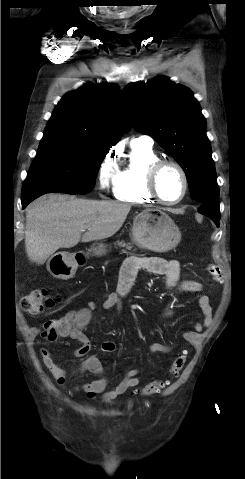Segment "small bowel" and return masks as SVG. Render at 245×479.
I'll return each instance as SVG.
<instances>
[{"mask_svg":"<svg viewBox=\"0 0 245 479\" xmlns=\"http://www.w3.org/2000/svg\"><path fill=\"white\" fill-rule=\"evenodd\" d=\"M144 269L148 272L162 275L165 278V285L168 289L178 293L200 292L202 290L201 283L194 280H180V264L177 260H165L158 257H138L131 256L123 262L117 289L115 292L107 293L105 300L101 305L89 303L86 307L73 310L65 314L56 321L65 325L62 337L71 338L79 343L78 348L74 351L76 357L87 356L91 350V343L86 333L85 327L90 323L92 313L101 310L116 309L122 311L123 300L130 293L138 272ZM198 303L204 317L203 321H197L194 324V331L185 332L184 338L192 341L196 333L202 332L209 327L214 319V309L210 303V299L206 294L198 297ZM173 314V308L168 306L162 316L168 318ZM102 350L112 353L116 350V344L112 341H106L102 344ZM171 347L167 344L155 342L150 345V352L168 353ZM41 357L45 366L50 370L59 385H64L68 378L67 370L61 366L52 357L50 350L42 347L40 350ZM79 373L90 372L98 376L97 379L82 384L79 388L84 391L89 398H95L98 394H102V400L106 403L111 402L116 397L127 392L129 389L140 383L138 371L136 369L128 370L124 373L121 381L107 390L108 380L103 376V367L100 360L96 356L87 357L81 364Z\"/></svg>","mask_w":245,"mask_h":479,"instance_id":"small-bowel-1","label":"small bowel"}]
</instances>
